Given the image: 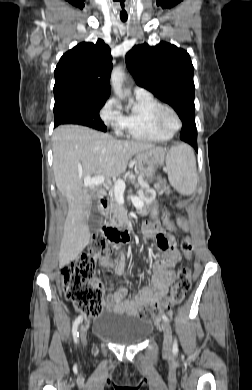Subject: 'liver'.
<instances>
[{
    "label": "liver",
    "mask_w": 252,
    "mask_h": 390,
    "mask_svg": "<svg viewBox=\"0 0 252 390\" xmlns=\"http://www.w3.org/2000/svg\"><path fill=\"white\" fill-rule=\"evenodd\" d=\"M150 149L163 151L150 143L117 140L84 126L61 125L55 129L54 177L69 204L59 251L60 267L76 259L89 243L92 199L104 194L102 189L84 188V179L98 174L120 176L134 155Z\"/></svg>",
    "instance_id": "liver-1"
}]
</instances>
